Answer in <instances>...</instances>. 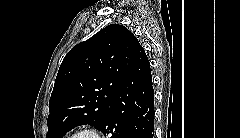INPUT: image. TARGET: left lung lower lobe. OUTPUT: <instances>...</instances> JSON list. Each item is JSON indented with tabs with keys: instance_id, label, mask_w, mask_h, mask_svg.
I'll use <instances>...</instances> for the list:
<instances>
[{
	"instance_id": "obj_1",
	"label": "left lung lower lobe",
	"mask_w": 240,
	"mask_h": 138,
	"mask_svg": "<svg viewBox=\"0 0 240 138\" xmlns=\"http://www.w3.org/2000/svg\"><path fill=\"white\" fill-rule=\"evenodd\" d=\"M99 130L110 138L154 137L152 76L142 47L111 101Z\"/></svg>"
}]
</instances>
